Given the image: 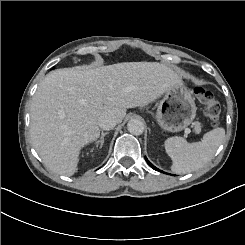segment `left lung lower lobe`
I'll return each mask as SVG.
<instances>
[{"instance_id":"0a47b994","label":"left lung lower lobe","mask_w":245,"mask_h":245,"mask_svg":"<svg viewBox=\"0 0 245 245\" xmlns=\"http://www.w3.org/2000/svg\"><path fill=\"white\" fill-rule=\"evenodd\" d=\"M145 159H146L147 163H148L153 169H155V170H157V171H159V172H163V171L159 170L158 168H156L154 165H152V164L148 161L147 158H145Z\"/></svg>"}]
</instances>
